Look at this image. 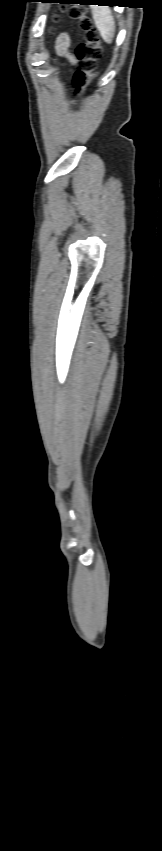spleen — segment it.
Here are the masks:
<instances>
[{
	"label": "spleen",
	"mask_w": 162,
	"mask_h": 851,
	"mask_svg": "<svg viewBox=\"0 0 162 851\" xmlns=\"http://www.w3.org/2000/svg\"><path fill=\"white\" fill-rule=\"evenodd\" d=\"M91 9L95 25L100 35L105 42L108 44L112 43L116 26L111 10L108 7L99 6H93Z\"/></svg>",
	"instance_id": "spleen-1"
}]
</instances>
